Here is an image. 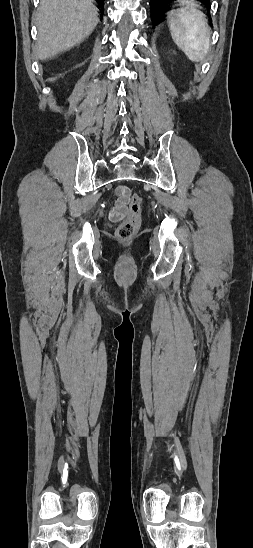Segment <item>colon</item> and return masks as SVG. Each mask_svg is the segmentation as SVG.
<instances>
[{"mask_svg":"<svg viewBox=\"0 0 253 548\" xmlns=\"http://www.w3.org/2000/svg\"><path fill=\"white\" fill-rule=\"evenodd\" d=\"M142 198L138 194L132 195L130 198V216L121 222L117 228V237L122 241H129L140 222V211Z\"/></svg>","mask_w":253,"mask_h":548,"instance_id":"5ec220e1","label":"colon"}]
</instances>
